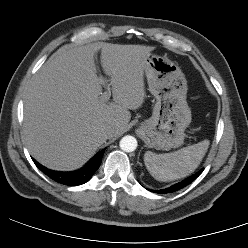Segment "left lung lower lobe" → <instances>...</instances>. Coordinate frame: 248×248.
<instances>
[{
    "label": "left lung lower lobe",
    "instance_id": "left-lung-lower-lobe-1",
    "mask_svg": "<svg viewBox=\"0 0 248 248\" xmlns=\"http://www.w3.org/2000/svg\"><path fill=\"white\" fill-rule=\"evenodd\" d=\"M203 170H200L199 172L193 174L192 176L186 178L185 180L176 183L168 188L165 189H161V190H150L151 192H156V193H160V194H167V193H172V192H176L184 187H186L187 185H189L190 183H192L201 173Z\"/></svg>",
    "mask_w": 248,
    "mask_h": 248
}]
</instances>
